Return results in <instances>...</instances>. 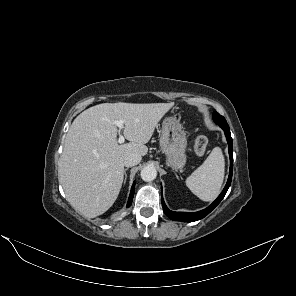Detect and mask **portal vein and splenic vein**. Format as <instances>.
<instances>
[{"label":"portal vein and splenic vein","mask_w":296,"mask_h":296,"mask_svg":"<svg viewBox=\"0 0 296 296\" xmlns=\"http://www.w3.org/2000/svg\"><path fill=\"white\" fill-rule=\"evenodd\" d=\"M114 124H115L116 126H118L119 129H123V124H124V122H123L122 120H115V121H114ZM124 141H125L124 136H123V135H119L118 143H119V144H122V143H124Z\"/></svg>","instance_id":"portal-vein-and-splenic-vein-1"}]
</instances>
